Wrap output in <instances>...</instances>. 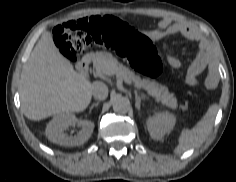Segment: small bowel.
Masks as SVG:
<instances>
[{
    "label": "small bowel",
    "mask_w": 236,
    "mask_h": 182,
    "mask_svg": "<svg viewBox=\"0 0 236 182\" xmlns=\"http://www.w3.org/2000/svg\"><path fill=\"white\" fill-rule=\"evenodd\" d=\"M174 34H181L183 37L190 41H196L199 39V35L194 28L170 17L162 18L158 22L156 29L144 32V35L148 37L152 43H160L165 37ZM161 48L163 50V53L165 54L168 64L171 67L180 68L182 66V61L171 54L168 51L166 45L162 44ZM206 63V47L205 45H201L199 53L191 62L183 78V83L187 86H195L198 83V76L205 68ZM206 85L209 88L213 87V80L211 76L206 79Z\"/></svg>",
    "instance_id": "c3829d8e"
}]
</instances>
